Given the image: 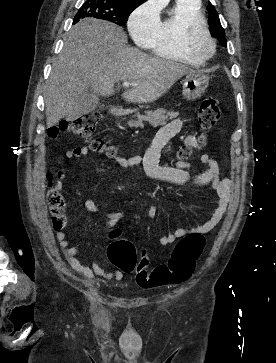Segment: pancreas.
<instances>
[{"label":"pancreas","instance_id":"obj_1","mask_svg":"<svg viewBox=\"0 0 276 363\" xmlns=\"http://www.w3.org/2000/svg\"><path fill=\"white\" fill-rule=\"evenodd\" d=\"M177 112H168L163 108L154 111H146V115L136 114L137 120H129L127 124L131 127H139L143 121L149 122L152 126L165 125L169 118H174Z\"/></svg>","mask_w":276,"mask_h":363}]
</instances>
